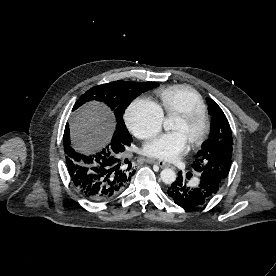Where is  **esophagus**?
I'll return each mask as SVG.
<instances>
[{
    "instance_id": "obj_1",
    "label": "esophagus",
    "mask_w": 276,
    "mask_h": 276,
    "mask_svg": "<svg viewBox=\"0 0 276 276\" xmlns=\"http://www.w3.org/2000/svg\"><path fill=\"white\" fill-rule=\"evenodd\" d=\"M146 162L157 164V165L160 166L161 168H165V167H168V166H169V164L166 163V162L159 161V160H154V159H147Z\"/></svg>"
}]
</instances>
